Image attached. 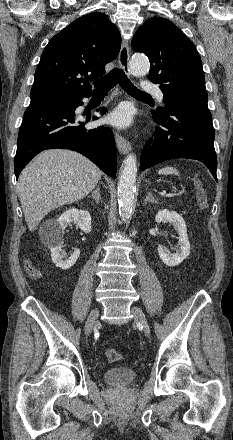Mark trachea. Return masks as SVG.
<instances>
[{"instance_id": "trachea-1", "label": "trachea", "mask_w": 233, "mask_h": 440, "mask_svg": "<svg viewBox=\"0 0 233 440\" xmlns=\"http://www.w3.org/2000/svg\"><path fill=\"white\" fill-rule=\"evenodd\" d=\"M117 83L125 90L128 94L139 97H151L149 94L139 90L134 86V84L128 79L126 74L122 69L115 68L105 76L97 79L94 82L95 91L97 92H108Z\"/></svg>"}]
</instances>
